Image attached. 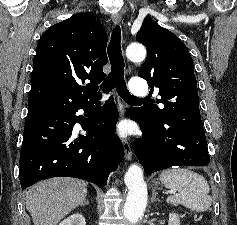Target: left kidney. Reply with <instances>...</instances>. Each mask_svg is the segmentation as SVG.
<instances>
[{"mask_svg":"<svg viewBox=\"0 0 237 225\" xmlns=\"http://www.w3.org/2000/svg\"><path fill=\"white\" fill-rule=\"evenodd\" d=\"M168 225H180V219L178 214L170 213L169 214V224Z\"/></svg>","mask_w":237,"mask_h":225,"instance_id":"1","label":"left kidney"}]
</instances>
